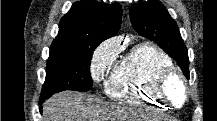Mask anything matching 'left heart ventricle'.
I'll use <instances>...</instances> for the list:
<instances>
[{
    "label": "left heart ventricle",
    "mask_w": 217,
    "mask_h": 121,
    "mask_svg": "<svg viewBox=\"0 0 217 121\" xmlns=\"http://www.w3.org/2000/svg\"><path fill=\"white\" fill-rule=\"evenodd\" d=\"M176 91H177V88L174 87V88L172 89V92L175 93Z\"/></svg>",
    "instance_id": "left-heart-ventricle-1"
}]
</instances>
